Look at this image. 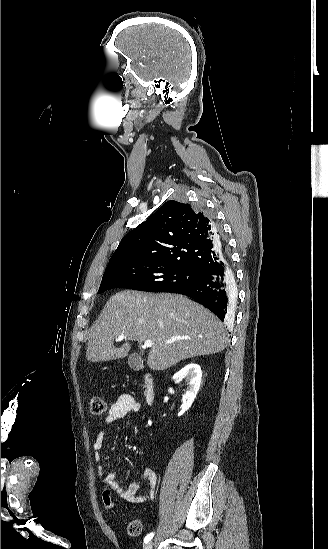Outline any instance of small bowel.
<instances>
[{"instance_id": "c3829d8e", "label": "small bowel", "mask_w": 328, "mask_h": 549, "mask_svg": "<svg viewBox=\"0 0 328 549\" xmlns=\"http://www.w3.org/2000/svg\"><path fill=\"white\" fill-rule=\"evenodd\" d=\"M140 410V404L129 394H121L116 401L110 406L107 416L106 424L110 425L118 420L123 419L130 413H136ZM107 431L102 429L98 432L93 448L95 461L100 463L102 460L101 449L106 440ZM97 473L103 478V483L111 488L116 494L123 500L132 503L139 504L143 502H151L155 497V487L157 483V476L153 469L148 468L142 475L141 482L132 483L126 487H122L118 482V476L115 472H106L102 465H98ZM142 483H146L149 487L146 495H140L139 491L142 487Z\"/></svg>"}]
</instances>
